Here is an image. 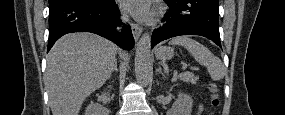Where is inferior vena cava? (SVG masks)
Segmentation results:
<instances>
[{"instance_id": "602c4592", "label": "inferior vena cava", "mask_w": 285, "mask_h": 115, "mask_svg": "<svg viewBox=\"0 0 285 115\" xmlns=\"http://www.w3.org/2000/svg\"><path fill=\"white\" fill-rule=\"evenodd\" d=\"M122 19H123L124 21H127V20H128L126 16H123Z\"/></svg>"}]
</instances>
